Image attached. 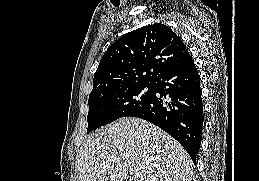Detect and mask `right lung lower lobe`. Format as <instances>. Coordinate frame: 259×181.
Here are the masks:
<instances>
[{"label": "right lung lower lobe", "mask_w": 259, "mask_h": 181, "mask_svg": "<svg viewBox=\"0 0 259 181\" xmlns=\"http://www.w3.org/2000/svg\"><path fill=\"white\" fill-rule=\"evenodd\" d=\"M150 99L132 117L147 120L174 137L195 162L203 129L200 77L187 55L153 81Z\"/></svg>", "instance_id": "98d812e1"}]
</instances>
